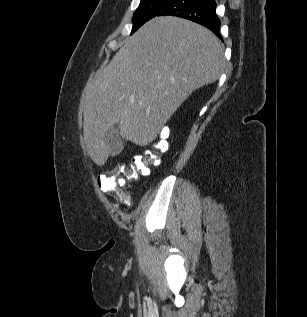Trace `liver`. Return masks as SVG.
Listing matches in <instances>:
<instances>
[{
	"instance_id": "6515ba94",
	"label": "liver",
	"mask_w": 307,
	"mask_h": 317,
	"mask_svg": "<svg viewBox=\"0 0 307 317\" xmlns=\"http://www.w3.org/2000/svg\"><path fill=\"white\" fill-rule=\"evenodd\" d=\"M225 65L220 40L205 27L171 16L147 22L84 89L83 135L92 160L105 164L107 133L117 123L122 138L148 145L192 92L219 79Z\"/></svg>"
}]
</instances>
